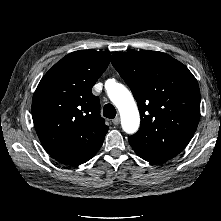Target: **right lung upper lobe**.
<instances>
[{
  "label": "right lung upper lobe",
  "mask_w": 221,
  "mask_h": 221,
  "mask_svg": "<svg viewBox=\"0 0 221 221\" xmlns=\"http://www.w3.org/2000/svg\"><path fill=\"white\" fill-rule=\"evenodd\" d=\"M109 52L79 50L56 63L41 79L32 99V118L45 150L66 165L91 159L108 126L92 87L106 70Z\"/></svg>",
  "instance_id": "cb5924a9"
}]
</instances>
